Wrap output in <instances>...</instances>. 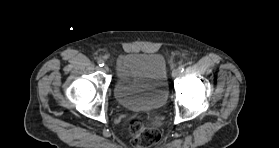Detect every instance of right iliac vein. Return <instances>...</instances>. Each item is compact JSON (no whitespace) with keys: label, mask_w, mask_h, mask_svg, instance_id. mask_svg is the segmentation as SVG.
<instances>
[{"label":"right iliac vein","mask_w":279,"mask_h":148,"mask_svg":"<svg viewBox=\"0 0 279 148\" xmlns=\"http://www.w3.org/2000/svg\"><path fill=\"white\" fill-rule=\"evenodd\" d=\"M102 69H103L104 72H108L109 71V67L107 65H104Z\"/></svg>","instance_id":"63e3f726"}]
</instances>
